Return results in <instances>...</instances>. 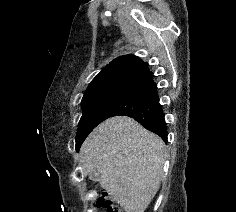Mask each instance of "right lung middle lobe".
<instances>
[{
    "instance_id": "right-lung-middle-lobe-1",
    "label": "right lung middle lobe",
    "mask_w": 236,
    "mask_h": 212,
    "mask_svg": "<svg viewBox=\"0 0 236 212\" xmlns=\"http://www.w3.org/2000/svg\"><path fill=\"white\" fill-rule=\"evenodd\" d=\"M131 90L114 91L82 99L83 115L76 135V150L88 134L103 120L109 118L117 107L128 97Z\"/></svg>"
}]
</instances>
